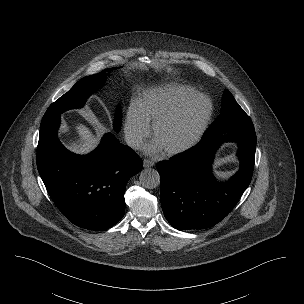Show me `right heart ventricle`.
I'll use <instances>...</instances> for the list:
<instances>
[{"instance_id": "right-heart-ventricle-1", "label": "right heart ventricle", "mask_w": 304, "mask_h": 304, "mask_svg": "<svg viewBox=\"0 0 304 304\" xmlns=\"http://www.w3.org/2000/svg\"><path fill=\"white\" fill-rule=\"evenodd\" d=\"M197 93L190 86L171 84L148 91L137 103L149 124H153L159 117L176 107L181 101Z\"/></svg>"}]
</instances>
